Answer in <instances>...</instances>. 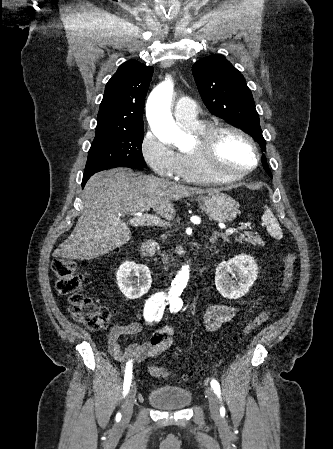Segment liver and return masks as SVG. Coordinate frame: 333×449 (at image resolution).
I'll list each match as a JSON object with an SVG mask.
<instances>
[{"label": "liver", "mask_w": 333, "mask_h": 449, "mask_svg": "<svg viewBox=\"0 0 333 449\" xmlns=\"http://www.w3.org/2000/svg\"><path fill=\"white\" fill-rule=\"evenodd\" d=\"M212 192L215 191L183 186L153 176H136L123 168L97 173L85 185L82 216L54 254L81 260L102 256L130 240L126 215L152 209L160 217L172 220L175 217L173 200Z\"/></svg>", "instance_id": "6515ba94"}]
</instances>
